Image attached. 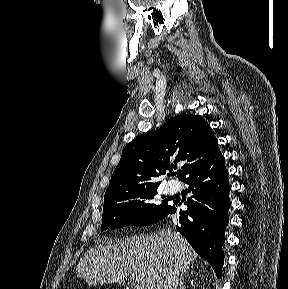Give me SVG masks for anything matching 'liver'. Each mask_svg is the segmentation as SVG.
Returning a JSON list of instances; mask_svg holds the SVG:
<instances>
[{
    "label": "liver",
    "mask_w": 288,
    "mask_h": 289,
    "mask_svg": "<svg viewBox=\"0 0 288 289\" xmlns=\"http://www.w3.org/2000/svg\"><path fill=\"white\" fill-rule=\"evenodd\" d=\"M197 255L176 231L162 229L150 236L101 241L89 249L76 267L77 276L89 285L125 283L138 289H159L164 272H185Z\"/></svg>",
    "instance_id": "obj_1"
}]
</instances>
